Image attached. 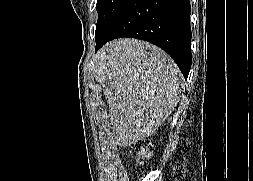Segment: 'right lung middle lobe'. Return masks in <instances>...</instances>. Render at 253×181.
I'll use <instances>...</instances> for the list:
<instances>
[{
    "mask_svg": "<svg viewBox=\"0 0 253 181\" xmlns=\"http://www.w3.org/2000/svg\"><path fill=\"white\" fill-rule=\"evenodd\" d=\"M131 2L132 0H98L96 4L98 21L95 37L103 33Z\"/></svg>",
    "mask_w": 253,
    "mask_h": 181,
    "instance_id": "1",
    "label": "right lung middle lobe"
}]
</instances>
